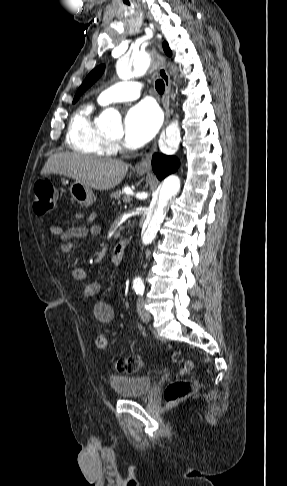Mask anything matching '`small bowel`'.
I'll use <instances>...</instances> for the list:
<instances>
[{
	"instance_id": "1",
	"label": "small bowel",
	"mask_w": 287,
	"mask_h": 486,
	"mask_svg": "<svg viewBox=\"0 0 287 486\" xmlns=\"http://www.w3.org/2000/svg\"><path fill=\"white\" fill-rule=\"evenodd\" d=\"M97 214L91 213L85 216L82 213H75L74 218L83 221L82 226L64 227L54 224H49V231L57 237V246L64 252L69 253L74 246L77 239H85L88 237H95L100 233V226L95 223ZM112 262L119 264L122 259L112 256ZM71 275L75 280L85 281L89 278L90 273L84 268L75 267L71 271ZM100 284L98 282H88L82 287V295L94 302V315L100 323H110L114 318V310L112 306L99 296Z\"/></svg>"
}]
</instances>
